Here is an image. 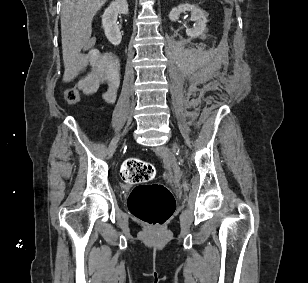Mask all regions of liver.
<instances>
[{"label": "liver", "mask_w": 308, "mask_h": 283, "mask_svg": "<svg viewBox=\"0 0 308 283\" xmlns=\"http://www.w3.org/2000/svg\"><path fill=\"white\" fill-rule=\"evenodd\" d=\"M106 1L62 0L61 37L65 65L76 57L89 41L92 19Z\"/></svg>", "instance_id": "obj_1"}]
</instances>
